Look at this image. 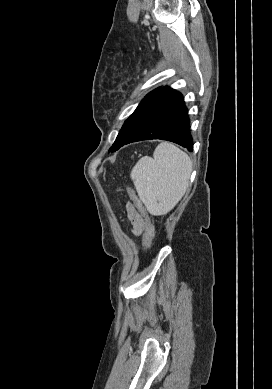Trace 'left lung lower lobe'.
I'll return each mask as SVG.
<instances>
[{
    "instance_id": "left-lung-lower-lobe-1",
    "label": "left lung lower lobe",
    "mask_w": 272,
    "mask_h": 389,
    "mask_svg": "<svg viewBox=\"0 0 272 389\" xmlns=\"http://www.w3.org/2000/svg\"><path fill=\"white\" fill-rule=\"evenodd\" d=\"M160 139L192 151L188 111L180 92L170 87L158 90L146 103L117 147L136 141Z\"/></svg>"
}]
</instances>
